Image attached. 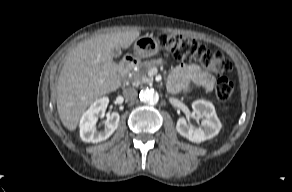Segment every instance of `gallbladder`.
<instances>
[{
  "instance_id": "1",
  "label": "gallbladder",
  "mask_w": 292,
  "mask_h": 192,
  "mask_svg": "<svg viewBox=\"0 0 292 192\" xmlns=\"http://www.w3.org/2000/svg\"><path fill=\"white\" fill-rule=\"evenodd\" d=\"M121 55V49L120 48H113L112 49V56L114 58H117Z\"/></svg>"
}]
</instances>
